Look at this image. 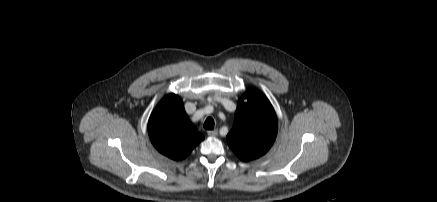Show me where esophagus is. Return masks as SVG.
<instances>
[{
	"mask_svg": "<svg viewBox=\"0 0 437 202\" xmlns=\"http://www.w3.org/2000/svg\"><path fill=\"white\" fill-rule=\"evenodd\" d=\"M207 134L211 137L217 136L218 130H209Z\"/></svg>",
	"mask_w": 437,
	"mask_h": 202,
	"instance_id": "esophagus-1",
	"label": "esophagus"
}]
</instances>
